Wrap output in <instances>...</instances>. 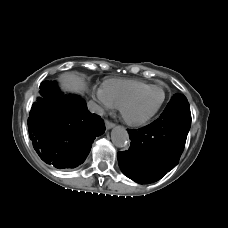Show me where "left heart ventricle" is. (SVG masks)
<instances>
[{
    "label": "left heart ventricle",
    "mask_w": 228,
    "mask_h": 228,
    "mask_svg": "<svg viewBox=\"0 0 228 228\" xmlns=\"http://www.w3.org/2000/svg\"><path fill=\"white\" fill-rule=\"evenodd\" d=\"M161 99V90H149L128 104L125 108V112L130 118H142L151 113L158 106Z\"/></svg>",
    "instance_id": "b2bd125f"
}]
</instances>
